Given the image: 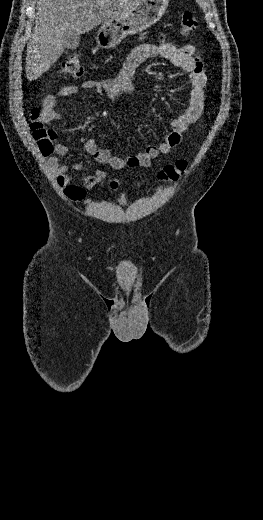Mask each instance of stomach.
Segmentation results:
<instances>
[{
	"label": "stomach",
	"instance_id": "obj_1",
	"mask_svg": "<svg viewBox=\"0 0 263 520\" xmlns=\"http://www.w3.org/2000/svg\"><path fill=\"white\" fill-rule=\"evenodd\" d=\"M169 0H142L117 19L101 25L96 34L97 45L108 49L128 35H135L155 24L164 15Z\"/></svg>",
	"mask_w": 263,
	"mask_h": 520
}]
</instances>
